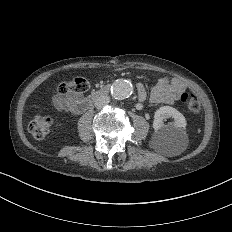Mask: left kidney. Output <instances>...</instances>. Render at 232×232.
<instances>
[{"instance_id":"obj_1","label":"left kidney","mask_w":232,"mask_h":232,"mask_svg":"<svg viewBox=\"0 0 232 232\" xmlns=\"http://www.w3.org/2000/svg\"><path fill=\"white\" fill-rule=\"evenodd\" d=\"M170 117L174 118V122L165 125L164 120ZM186 124L185 117L175 108L170 106L160 107L154 114L153 146L182 145L188 139L185 132Z\"/></svg>"}]
</instances>
